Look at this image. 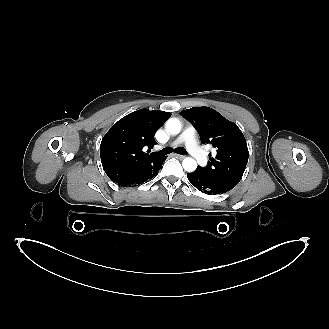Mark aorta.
<instances>
[{"label": "aorta", "mask_w": 329, "mask_h": 329, "mask_svg": "<svg viewBox=\"0 0 329 329\" xmlns=\"http://www.w3.org/2000/svg\"><path fill=\"white\" fill-rule=\"evenodd\" d=\"M166 130L172 135H177L181 131V122L176 118H171L166 122ZM182 166L185 171L193 172L197 168V162L195 159L187 157L183 160Z\"/></svg>", "instance_id": "aorta-1"}]
</instances>
